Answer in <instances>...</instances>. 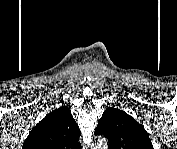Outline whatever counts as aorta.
<instances>
[{
  "mask_svg": "<svg viewBox=\"0 0 177 149\" xmlns=\"http://www.w3.org/2000/svg\"><path fill=\"white\" fill-rule=\"evenodd\" d=\"M97 145H98L97 148L101 147V145H102V147L106 148L107 147V142H106L105 139H99L98 142H97Z\"/></svg>",
  "mask_w": 177,
  "mask_h": 149,
  "instance_id": "1",
  "label": "aorta"
}]
</instances>
